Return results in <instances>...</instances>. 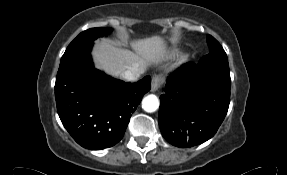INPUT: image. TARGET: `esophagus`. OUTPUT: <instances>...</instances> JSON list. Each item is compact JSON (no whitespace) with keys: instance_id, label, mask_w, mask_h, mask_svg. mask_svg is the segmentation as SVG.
Masks as SVG:
<instances>
[{"instance_id":"obj_1","label":"esophagus","mask_w":287,"mask_h":175,"mask_svg":"<svg viewBox=\"0 0 287 175\" xmlns=\"http://www.w3.org/2000/svg\"><path fill=\"white\" fill-rule=\"evenodd\" d=\"M164 79L161 75H156L152 78L151 81V91L155 92L158 90V88L162 85Z\"/></svg>"}]
</instances>
